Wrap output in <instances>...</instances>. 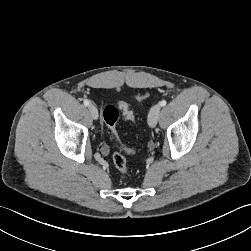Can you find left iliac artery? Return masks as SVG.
Here are the masks:
<instances>
[{
	"label": "left iliac artery",
	"instance_id": "left-iliac-artery-1",
	"mask_svg": "<svg viewBox=\"0 0 251 251\" xmlns=\"http://www.w3.org/2000/svg\"><path fill=\"white\" fill-rule=\"evenodd\" d=\"M166 103H167L166 100H162L159 104H160L161 107H163V106L166 105Z\"/></svg>",
	"mask_w": 251,
	"mask_h": 251
}]
</instances>
